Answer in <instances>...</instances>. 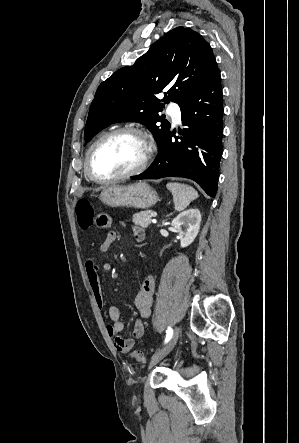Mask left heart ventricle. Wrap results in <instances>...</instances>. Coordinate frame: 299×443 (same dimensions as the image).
<instances>
[{
  "label": "left heart ventricle",
  "instance_id": "left-heart-ventricle-1",
  "mask_svg": "<svg viewBox=\"0 0 299 443\" xmlns=\"http://www.w3.org/2000/svg\"><path fill=\"white\" fill-rule=\"evenodd\" d=\"M144 145L134 134H119L103 141L92 157L94 173L100 178L122 174L137 166L143 157Z\"/></svg>",
  "mask_w": 299,
  "mask_h": 443
}]
</instances>
